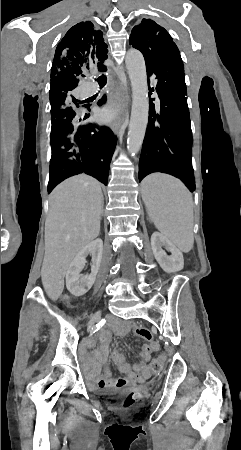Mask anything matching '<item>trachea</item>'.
<instances>
[{"label":"trachea","instance_id":"3493384b","mask_svg":"<svg viewBox=\"0 0 241 450\" xmlns=\"http://www.w3.org/2000/svg\"><path fill=\"white\" fill-rule=\"evenodd\" d=\"M100 85L106 84L107 78L105 75H101L98 79H96Z\"/></svg>","mask_w":241,"mask_h":450}]
</instances>
